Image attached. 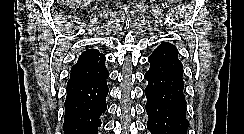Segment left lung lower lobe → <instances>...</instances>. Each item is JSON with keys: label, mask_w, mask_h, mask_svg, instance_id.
Listing matches in <instances>:
<instances>
[{"label": "left lung lower lobe", "mask_w": 244, "mask_h": 134, "mask_svg": "<svg viewBox=\"0 0 244 134\" xmlns=\"http://www.w3.org/2000/svg\"><path fill=\"white\" fill-rule=\"evenodd\" d=\"M148 85L147 128L151 134H187L189 122L186 119L184 87L163 86L149 72L145 74Z\"/></svg>", "instance_id": "left-lung-lower-lobe-1"}]
</instances>
